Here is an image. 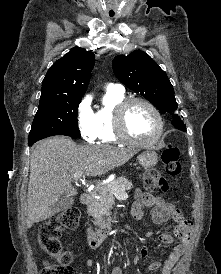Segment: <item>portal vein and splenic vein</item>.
Segmentation results:
<instances>
[{
	"instance_id": "portal-vein-and-splenic-vein-1",
	"label": "portal vein and splenic vein",
	"mask_w": 221,
	"mask_h": 274,
	"mask_svg": "<svg viewBox=\"0 0 221 274\" xmlns=\"http://www.w3.org/2000/svg\"><path fill=\"white\" fill-rule=\"evenodd\" d=\"M83 172L82 171H79V172H76L73 176L74 180L77 182L79 181V179L81 178ZM113 191L115 193V195L120 198V199H126L128 197V195L125 193V192H122L118 187H114L113 188Z\"/></svg>"
}]
</instances>
